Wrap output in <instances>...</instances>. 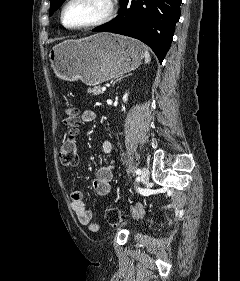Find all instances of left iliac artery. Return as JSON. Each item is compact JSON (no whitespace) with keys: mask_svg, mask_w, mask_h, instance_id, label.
Listing matches in <instances>:
<instances>
[{"mask_svg":"<svg viewBox=\"0 0 240 281\" xmlns=\"http://www.w3.org/2000/svg\"><path fill=\"white\" fill-rule=\"evenodd\" d=\"M135 172H136V174H138V175L141 174V170H140V169H137Z\"/></svg>","mask_w":240,"mask_h":281,"instance_id":"1","label":"left iliac artery"}]
</instances>
